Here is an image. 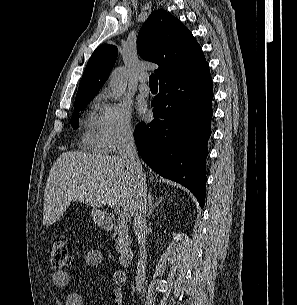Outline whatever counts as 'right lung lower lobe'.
I'll return each instance as SVG.
<instances>
[{"label":"right lung lower lobe","mask_w":297,"mask_h":305,"mask_svg":"<svg viewBox=\"0 0 297 305\" xmlns=\"http://www.w3.org/2000/svg\"><path fill=\"white\" fill-rule=\"evenodd\" d=\"M212 78L205 63L159 83L151 102L154 120L134 132L139 155L155 172L187 187L203 208L207 143L211 135Z\"/></svg>","instance_id":"obj_1"}]
</instances>
